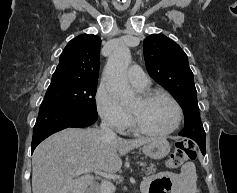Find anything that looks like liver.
Returning <instances> with one entry per match:
<instances>
[{"instance_id": "obj_1", "label": "liver", "mask_w": 237, "mask_h": 193, "mask_svg": "<svg viewBox=\"0 0 237 193\" xmlns=\"http://www.w3.org/2000/svg\"><path fill=\"white\" fill-rule=\"evenodd\" d=\"M152 140L107 137L98 128H68L44 140L32 157L33 193H86L94 177L78 168L115 173L121 156Z\"/></svg>"}]
</instances>
